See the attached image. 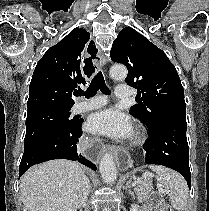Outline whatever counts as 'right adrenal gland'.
Returning <instances> with one entry per match:
<instances>
[{"instance_id":"obj_1","label":"right adrenal gland","mask_w":209,"mask_h":211,"mask_svg":"<svg viewBox=\"0 0 209 211\" xmlns=\"http://www.w3.org/2000/svg\"><path fill=\"white\" fill-rule=\"evenodd\" d=\"M88 185H89V189L91 188V184H90V180L88 179Z\"/></svg>"}]
</instances>
